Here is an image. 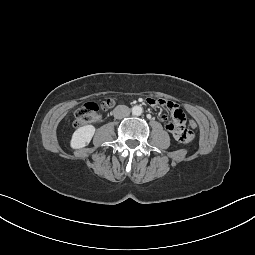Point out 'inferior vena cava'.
<instances>
[{"label":"inferior vena cava","mask_w":255,"mask_h":255,"mask_svg":"<svg viewBox=\"0 0 255 255\" xmlns=\"http://www.w3.org/2000/svg\"><path fill=\"white\" fill-rule=\"evenodd\" d=\"M130 109L126 105H118L113 110V115L116 119H121L129 116Z\"/></svg>","instance_id":"602c4592"}]
</instances>
